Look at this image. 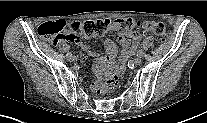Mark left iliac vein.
<instances>
[{
  "instance_id": "left-iliac-vein-1",
  "label": "left iliac vein",
  "mask_w": 207,
  "mask_h": 123,
  "mask_svg": "<svg viewBox=\"0 0 207 123\" xmlns=\"http://www.w3.org/2000/svg\"><path fill=\"white\" fill-rule=\"evenodd\" d=\"M134 64L135 65H140L141 64V57L138 56L137 58H135L134 59Z\"/></svg>"
}]
</instances>
